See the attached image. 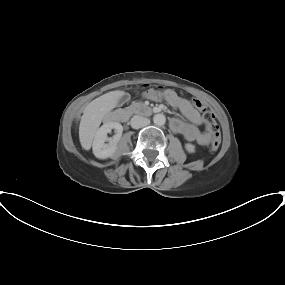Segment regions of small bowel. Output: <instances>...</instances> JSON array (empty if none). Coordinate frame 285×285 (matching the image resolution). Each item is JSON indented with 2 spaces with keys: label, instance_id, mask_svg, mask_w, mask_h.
<instances>
[{
  "label": "small bowel",
  "instance_id": "small-bowel-1",
  "mask_svg": "<svg viewBox=\"0 0 285 285\" xmlns=\"http://www.w3.org/2000/svg\"><path fill=\"white\" fill-rule=\"evenodd\" d=\"M145 96L154 101L165 99L171 106L177 108L186 117L189 122H184L178 118L171 120L170 127L174 132L183 135L188 141L196 142L199 145L204 146L209 144V133L198 128L202 123V117L188 100L180 97L176 92L170 89L163 92L150 89L146 92Z\"/></svg>",
  "mask_w": 285,
  "mask_h": 285
}]
</instances>
